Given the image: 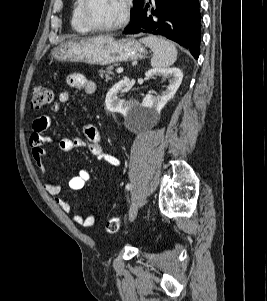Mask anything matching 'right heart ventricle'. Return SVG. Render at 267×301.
Listing matches in <instances>:
<instances>
[{"label": "right heart ventricle", "mask_w": 267, "mask_h": 301, "mask_svg": "<svg viewBox=\"0 0 267 301\" xmlns=\"http://www.w3.org/2000/svg\"><path fill=\"white\" fill-rule=\"evenodd\" d=\"M83 0H75L73 4L72 16H71V26L79 33H88L91 29L84 23L81 14V6Z\"/></svg>", "instance_id": "obj_1"}]
</instances>
